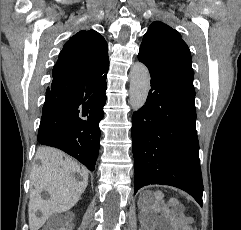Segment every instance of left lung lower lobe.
Instances as JSON below:
<instances>
[{"label":"left lung lower lobe","mask_w":241,"mask_h":230,"mask_svg":"<svg viewBox=\"0 0 241 230\" xmlns=\"http://www.w3.org/2000/svg\"><path fill=\"white\" fill-rule=\"evenodd\" d=\"M149 71L147 102L132 116L134 193L149 184L171 185L202 206L193 83Z\"/></svg>","instance_id":"1"}]
</instances>
